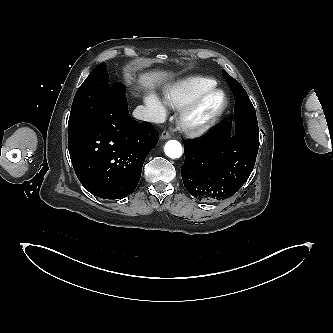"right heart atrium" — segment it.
<instances>
[{
	"mask_svg": "<svg viewBox=\"0 0 333 333\" xmlns=\"http://www.w3.org/2000/svg\"><path fill=\"white\" fill-rule=\"evenodd\" d=\"M145 103L150 110L151 117L155 120L162 118L165 113L166 109L162 101L154 94H149L146 99Z\"/></svg>",
	"mask_w": 333,
	"mask_h": 333,
	"instance_id": "d8ad5b80",
	"label": "right heart atrium"
}]
</instances>
